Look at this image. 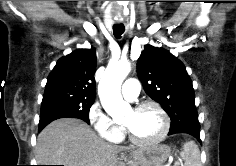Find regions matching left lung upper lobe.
I'll return each mask as SVG.
<instances>
[{
    "label": "left lung upper lobe",
    "mask_w": 236,
    "mask_h": 166,
    "mask_svg": "<svg viewBox=\"0 0 236 166\" xmlns=\"http://www.w3.org/2000/svg\"><path fill=\"white\" fill-rule=\"evenodd\" d=\"M137 73L146 94L161 104L171 124L197 116L191 79L184 64L169 51L145 45Z\"/></svg>",
    "instance_id": "5c2ea615"
}]
</instances>
